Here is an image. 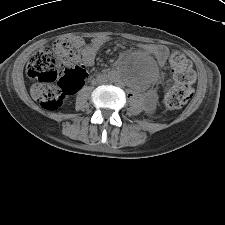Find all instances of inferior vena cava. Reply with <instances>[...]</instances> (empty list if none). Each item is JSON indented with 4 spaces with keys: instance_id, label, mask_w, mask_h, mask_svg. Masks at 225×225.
Listing matches in <instances>:
<instances>
[{
    "instance_id": "1",
    "label": "inferior vena cava",
    "mask_w": 225,
    "mask_h": 225,
    "mask_svg": "<svg viewBox=\"0 0 225 225\" xmlns=\"http://www.w3.org/2000/svg\"><path fill=\"white\" fill-rule=\"evenodd\" d=\"M106 81H107V79L104 78V77H98V78H97V82H98L99 84L105 83Z\"/></svg>"
}]
</instances>
